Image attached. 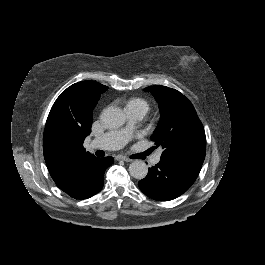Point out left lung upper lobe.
Instances as JSON below:
<instances>
[{"label":"left lung upper lobe","instance_id":"1","mask_svg":"<svg viewBox=\"0 0 265 265\" xmlns=\"http://www.w3.org/2000/svg\"><path fill=\"white\" fill-rule=\"evenodd\" d=\"M144 90L159 103L161 119L151 140L164 149L161 159L203 163L206 137L192 103L179 91L165 86Z\"/></svg>","mask_w":265,"mask_h":265}]
</instances>
